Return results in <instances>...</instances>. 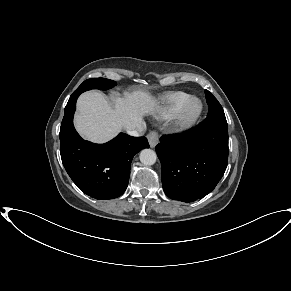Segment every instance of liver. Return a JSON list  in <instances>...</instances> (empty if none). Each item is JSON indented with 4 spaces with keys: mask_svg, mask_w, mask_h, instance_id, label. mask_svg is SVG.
Here are the masks:
<instances>
[{
    "mask_svg": "<svg viewBox=\"0 0 291 291\" xmlns=\"http://www.w3.org/2000/svg\"><path fill=\"white\" fill-rule=\"evenodd\" d=\"M156 108L157 101L143 90L115 98L114 107L102 94L86 92L77 101L75 127L87 140L104 143L121 129H136L143 122V116L153 114Z\"/></svg>",
    "mask_w": 291,
    "mask_h": 291,
    "instance_id": "1",
    "label": "liver"
}]
</instances>
